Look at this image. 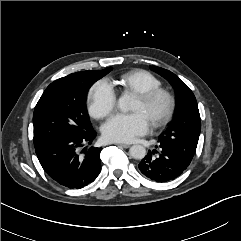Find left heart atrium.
I'll list each match as a JSON object with an SVG mask.
<instances>
[{
  "mask_svg": "<svg viewBox=\"0 0 241 241\" xmlns=\"http://www.w3.org/2000/svg\"><path fill=\"white\" fill-rule=\"evenodd\" d=\"M150 128L151 122L143 112L116 114L103 126V136L110 142L129 143L148 133Z\"/></svg>",
  "mask_w": 241,
  "mask_h": 241,
  "instance_id": "obj_1",
  "label": "left heart atrium"
}]
</instances>
